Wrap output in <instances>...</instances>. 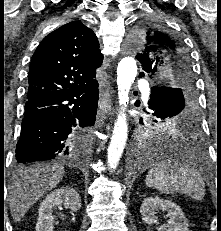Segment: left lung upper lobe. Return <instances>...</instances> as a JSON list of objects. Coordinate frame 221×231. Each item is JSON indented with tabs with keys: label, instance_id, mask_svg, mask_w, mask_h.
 Instances as JSON below:
<instances>
[{
	"label": "left lung upper lobe",
	"instance_id": "1",
	"mask_svg": "<svg viewBox=\"0 0 221 231\" xmlns=\"http://www.w3.org/2000/svg\"><path fill=\"white\" fill-rule=\"evenodd\" d=\"M138 45L136 59L144 71L158 86L170 89L173 99H164L149 104V113L157 119H165L178 115L188 105L195 104V84L190 55L183 43L165 28L158 25H146L135 34ZM140 77L144 73H140Z\"/></svg>",
	"mask_w": 221,
	"mask_h": 231
}]
</instances>
